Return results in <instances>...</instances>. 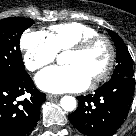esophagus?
Masks as SVG:
<instances>
[{
  "label": "esophagus",
  "instance_id": "34e87169",
  "mask_svg": "<svg viewBox=\"0 0 136 136\" xmlns=\"http://www.w3.org/2000/svg\"><path fill=\"white\" fill-rule=\"evenodd\" d=\"M47 99H54V98H58L59 95H55V94H47Z\"/></svg>",
  "mask_w": 136,
  "mask_h": 136
}]
</instances>
